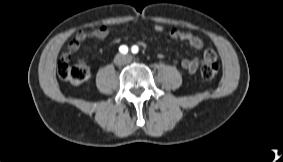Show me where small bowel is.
I'll use <instances>...</instances> for the list:
<instances>
[{"instance_id": "c3829d8e", "label": "small bowel", "mask_w": 283, "mask_h": 162, "mask_svg": "<svg viewBox=\"0 0 283 162\" xmlns=\"http://www.w3.org/2000/svg\"><path fill=\"white\" fill-rule=\"evenodd\" d=\"M153 29L158 33L164 31V27L160 24H155L153 26ZM107 35H108V29L106 26H100L97 29H95L92 33V36L97 39H103ZM169 35L175 41L188 42L195 49L200 50L203 48L202 40L189 32H184L177 28H173L170 30ZM87 37H88L87 32L79 31L75 35V37L69 42L67 50L62 54L61 59L69 60L72 54L79 49L81 43L85 41ZM139 44L145 46V43L143 42H140ZM207 53H213L216 56V54L213 51L208 50L204 53V59ZM158 57L162 58L163 55L159 54ZM173 63L175 65L180 66L187 73L195 74L200 66L201 60L199 57H193V58H184L181 60H175L173 61Z\"/></svg>"}]
</instances>
